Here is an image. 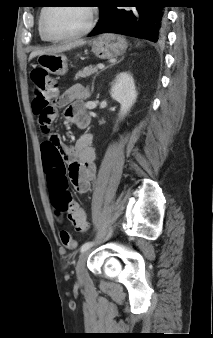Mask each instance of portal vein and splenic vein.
<instances>
[{"label": "portal vein and splenic vein", "mask_w": 213, "mask_h": 338, "mask_svg": "<svg viewBox=\"0 0 213 338\" xmlns=\"http://www.w3.org/2000/svg\"><path fill=\"white\" fill-rule=\"evenodd\" d=\"M97 68L103 69V68H104V65H103V64H98V65H97Z\"/></svg>", "instance_id": "portal-vein-and-splenic-vein-1"}]
</instances>
